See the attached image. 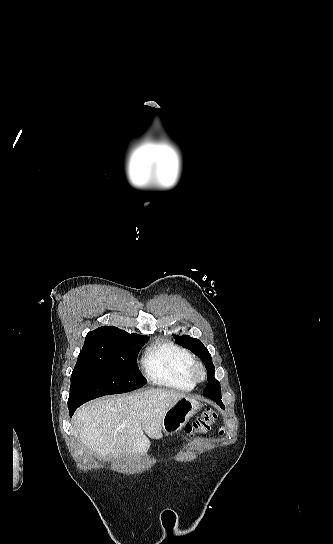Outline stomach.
Instances as JSON below:
<instances>
[{"label": "stomach", "instance_id": "0dacf381", "mask_svg": "<svg viewBox=\"0 0 333 544\" xmlns=\"http://www.w3.org/2000/svg\"><path fill=\"white\" fill-rule=\"evenodd\" d=\"M200 408L201 404L194 399L184 397L178 400L163 417L161 431L167 435L177 433Z\"/></svg>", "mask_w": 333, "mask_h": 544}]
</instances>
